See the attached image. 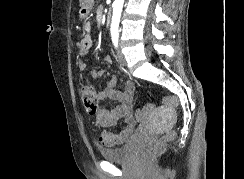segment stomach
Here are the masks:
<instances>
[{
	"instance_id": "obj_1",
	"label": "stomach",
	"mask_w": 244,
	"mask_h": 179,
	"mask_svg": "<svg viewBox=\"0 0 244 179\" xmlns=\"http://www.w3.org/2000/svg\"><path fill=\"white\" fill-rule=\"evenodd\" d=\"M81 10L79 12L81 20L87 18L88 14L91 12L93 0H80Z\"/></svg>"
}]
</instances>
